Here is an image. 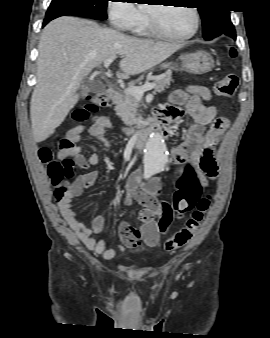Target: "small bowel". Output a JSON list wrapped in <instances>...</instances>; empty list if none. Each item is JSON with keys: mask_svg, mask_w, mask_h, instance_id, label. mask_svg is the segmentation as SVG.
<instances>
[{"mask_svg": "<svg viewBox=\"0 0 270 338\" xmlns=\"http://www.w3.org/2000/svg\"><path fill=\"white\" fill-rule=\"evenodd\" d=\"M211 96L209 88L200 85H190L186 89L173 91L170 94L169 103L163 105L157 111V114L163 116L169 124L167 135L173 134L172 123L182 117V111L180 110L182 107L186 109L193 119V124L188 130L186 141L177 145L171 151L172 158L176 162L173 175L178 182H183L188 175H195L203 185L206 184L205 173L200 167L203 149L206 147L211 148L214 159V148L219 139L225 134V130L213 127L217 109L211 102ZM210 124H212V128L207 131L206 126ZM110 127L111 122L107 117H99L87 129V133L103 143L104 134ZM84 130L85 127L82 125L74 126L68 130L66 138L73 143V147L61 149L58 154L60 159L70 158L81 169H86L89 165H96L100 160L98 153H92L87 159L82 152V147L78 145ZM97 178L98 172L95 170L79 174L66 190L57 191L55 198L62 216L85 246L95 254L109 260L115 257L116 249L107 248L104 237H96V234L100 233L103 229L102 219L94 217L91 227L87 228L77 218L73 210V200L79 197L85 189L93 186ZM140 184L141 173L140 171H134L129 175L126 183L124 203L129 205L132 200H135L151 216L162 213V204L156 200L161 191L160 181L153 179L143 188L140 187ZM135 217L140 222V233L135 229L126 227L125 224H121L119 227L120 239L123 245L131 248H137L141 241L149 247H155L158 244L160 233H166L171 223V220L165 223L164 219L161 222H155L153 220H143L141 215H136ZM119 249L122 250L123 246H119Z\"/></svg>", "mask_w": 270, "mask_h": 338, "instance_id": "obj_1", "label": "small bowel"}]
</instances>
